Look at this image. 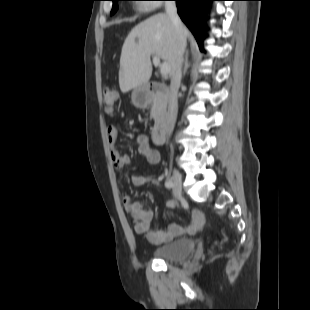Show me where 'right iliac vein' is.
Here are the masks:
<instances>
[{"instance_id": "right-iliac-vein-1", "label": "right iliac vein", "mask_w": 310, "mask_h": 310, "mask_svg": "<svg viewBox=\"0 0 310 310\" xmlns=\"http://www.w3.org/2000/svg\"><path fill=\"white\" fill-rule=\"evenodd\" d=\"M171 180L174 183V196L177 199H182V179H181V175L177 170L173 171V175Z\"/></svg>"}]
</instances>
